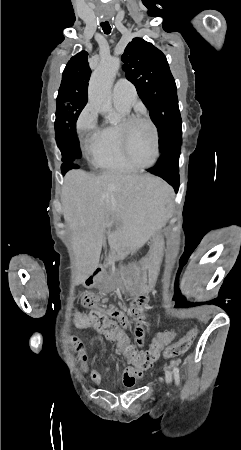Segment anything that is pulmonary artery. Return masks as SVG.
Listing matches in <instances>:
<instances>
[{"instance_id":"pulmonary-artery-1","label":"pulmonary artery","mask_w":241,"mask_h":450,"mask_svg":"<svg viewBox=\"0 0 241 450\" xmlns=\"http://www.w3.org/2000/svg\"><path fill=\"white\" fill-rule=\"evenodd\" d=\"M120 84H124L123 87ZM135 95V90L132 88L130 82L126 79H120L117 81L112 97L114 102L124 103L130 107L133 102V96Z\"/></svg>"}]
</instances>
